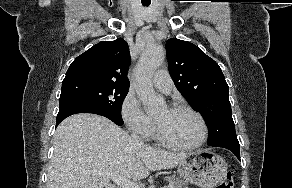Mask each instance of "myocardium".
Wrapping results in <instances>:
<instances>
[{
	"mask_svg": "<svg viewBox=\"0 0 292 188\" xmlns=\"http://www.w3.org/2000/svg\"><path fill=\"white\" fill-rule=\"evenodd\" d=\"M167 108L171 111H186L196 116L201 124L202 133H201L200 138L193 144H189V145L178 144L171 141L163 134L160 126L155 120L156 137L162 145L168 148L176 149V150H194L202 146L207 141L208 135H209V127L206 122V119L199 111L183 103H174L168 106Z\"/></svg>",
	"mask_w": 292,
	"mask_h": 188,
	"instance_id": "f54148a6",
	"label": "myocardium"
}]
</instances>
